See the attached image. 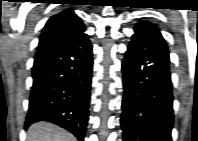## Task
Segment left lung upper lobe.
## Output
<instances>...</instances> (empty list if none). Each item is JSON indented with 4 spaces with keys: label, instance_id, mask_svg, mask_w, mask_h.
Wrapping results in <instances>:
<instances>
[{
    "label": "left lung upper lobe",
    "instance_id": "obj_1",
    "mask_svg": "<svg viewBox=\"0 0 198 141\" xmlns=\"http://www.w3.org/2000/svg\"><path fill=\"white\" fill-rule=\"evenodd\" d=\"M134 31H135L134 35L150 37V38H159V39L164 40L159 30L150 23L139 22L134 27ZM144 101H147V99H144ZM142 105L143 106H141V109L149 108L148 102H144Z\"/></svg>",
    "mask_w": 198,
    "mask_h": 141
}]
</instances>
